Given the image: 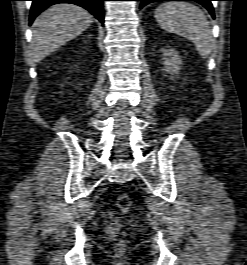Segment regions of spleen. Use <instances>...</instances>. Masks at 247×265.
Segmentation results:
<instances>
[{"instance_id": "obj_1", "label": "spleen", "mask_w": 247, "mask_h": 265, "mask_svg": "<svg viewBox=\"0 0 247 265\" xmlns=\"http://www.w3.org/2000/svg\"><path fill=\"white\" fill-rule=\"evenodd\" d=\"M160 27L192 41L206 59L213 47V35L205 14L188 2H166L155 10Z\"/></svg>"}]
</instances>
